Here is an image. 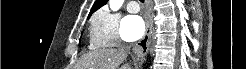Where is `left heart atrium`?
Listing matches in <instances>:
<instances>
[{"mask_svg": "<svg viewBox=\"0 0 246 69\" xmlns=\"http://www.w3.org/2000/svg\"><path fill=\"white\" fill-rule=\"evenodd\" d=\"M145 31V24L141 17L128 15L124 18L121 27V36L127 42L140 39Z\"/></svg>", "mask_w": 246, "mask_h": 69, "instance_id": "obj_1", "label": "left heart atrium"}]
</instances>
